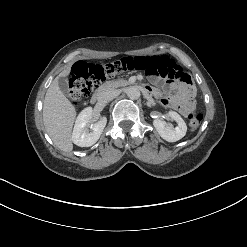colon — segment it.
I'll return each mask as SVG.
<instances>
[{"instance_id":"obj_1","label":"colon","mask_w":247,"mask_h":247,"mask_svg":"<svg viewBox=\"0 0 247 247\" xmlns=\"http://www.w3.org/2000/svg\"><path fill=\"white\" fill-rule=\"evenodd\" d=\"M165 65L170 71V75L182 82L192 84L191 77L184 71L176 70V63L167 56H137L127 57L120 60L94 64L84 61L76 62L71 70L69 79V95L73 103L88 96L99 84L107 78L123 72L143 71L148 66ZM189 118V128L197 129L203 119L201 113H191Z\"/></svg>"}]
</instances>
